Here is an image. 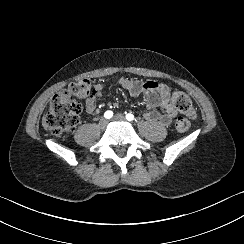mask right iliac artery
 <instances>
[{"instance_id":"right-iliac-artery-1","label":"right iliac artery","mask_w":244,"mask_h":244,"mask_svg":"<svg viewBox=\"0 0 244 244\" xmlns=\"http://www.w3.org/2000/svg\"><path fill=\"white\" fill-rule=\"evenodd\" d=\"M112 116H113V112L110 111V110H108V111H106V112L104 113V117H105L106 119H110Z\"/></svg>"}]
</instances>
